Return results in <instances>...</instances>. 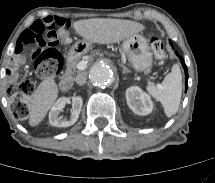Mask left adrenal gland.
I'll use <instances>...</instances> for the list:
<instances>
[{
  "mask_svg": "<svg viewBox=\"0 0 215 183\" xmlns=\"http://www.w3.org/2000/svg\"><path fill=\"white\" fill-rule=\"evenodd\" d=\"M121 67L123 68V74L130 73V72H131L126 66L121 65Z\"/></svg>",
  "mask_w": 215,
  "mask_h": 183,
  "instance_id": "obj_1",
  "label": "left adrenal gland"
}]
</instances>
